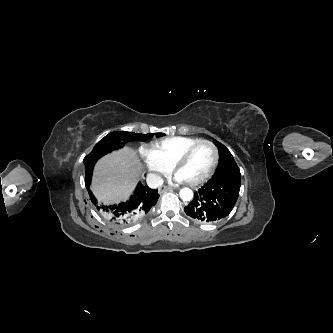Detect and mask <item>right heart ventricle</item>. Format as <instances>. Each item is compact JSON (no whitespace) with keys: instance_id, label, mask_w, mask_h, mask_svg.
<instances>
[{"instance_id":"right-heart-ventricle-1","label":"right heart ventricle","mask_w":333,"mask_h":333,"mask_svg":"<svg viewBox=\"0 0 333 333\" xmlns=\"http://www.w3.org/2000/svg\"><path fill=\"white\" fill-rule=\"evenodd\" d=\"M198 140L200 139L185 136L167 137L154 142L152 144V150L155 152L160 161L170 169L172 168V165L177 157L186 148Z\"/></svg>"}]
</instances>
